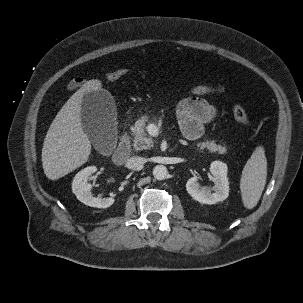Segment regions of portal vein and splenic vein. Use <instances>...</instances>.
<instances>
[{"mask_svg": "<svg viewBox=\"0 0 303 303\" xmlns=\"http://www.w3.org/2000/svg\"><path fill=\"white\" fill-rule=\"evenodd\" d=\"M150 128L151 129H156V127L154 125H151Z\"/></svg>", "mask_w": 303, "mask_h": 303, "instance_id": "portal-vein-and-splenic-vein-1", "label": "portal vein and splenic vein"}]
</instances>
